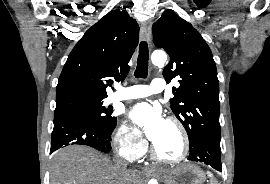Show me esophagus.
I'll list each match as a JSON object with an SVG mask.
<instances>
[{
    "label": "esophagus",
    "instance_id": "obj_1",
    "mask_svg": "<svg viewBox=\"0 0 270 184\" xmlns=\"http://www.w3.org/2000/svg\"><path fill=\"white\" fill-rule=\"evenodd\" d=\"M151 37V26L149 22H144L140 28V38L143 41H149ZM145 172H151L150 168H144Z\"/></svg>",
    "mask_w": 270,
    "mask_h": 184
}]
</instances>
